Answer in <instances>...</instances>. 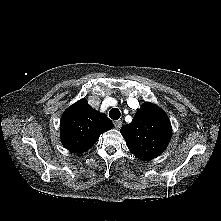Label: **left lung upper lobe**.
<instances>
[{"mask_svg":"<svg viewBox=\"0 0 221 221\" xmlns=\"http://www.w3.org/2000/svg\"><path fill=\"white\" fill-rule=\"evenodd\" d=\"M129 150L141 160H151L166 148L172 128L166 113L145 102L135 114L132 122L121 128Z\"/></svg>","mask_w":221,"mask_h":221,"instance_id":"5c2ea615","label":"left lung upper lobe"}]
</instances>
